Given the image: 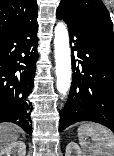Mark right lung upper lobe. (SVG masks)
Instances as JSON below:
<instances>
[{
    "mask_svg": "<svg viewBox=\"0 0 114 156\" xmlns=\"http://www.w3.org/2000/svg\"><path fill=\"white\" fill-rule=\"evenodd\" d=\"M36 0H0V35L37 18Z\"/></svg>",
    "mask_w": 114,
    "mask_h": 156,
    "instance_id": "right-lung-upper-lobe-1",
    "label": "right lung upper lobe"
}]
</instances>
